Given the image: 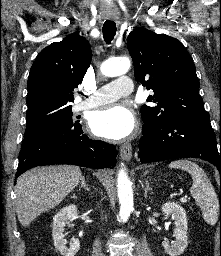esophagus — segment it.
Here are the masks:
<instances>
[{"label":"esophagus","mask_w":221,"mask_h":256,"mask_svg":"<svg viewBox=\"0 0 221 256\" xmlns=\"http://www.w3.org/2000/svg\"><path fill=\"white\" fill-rule=\"evenodd\" d=\"M120 156L125 161H130L132 158V146L130 143L122 144L120 146Z\"/></svg>","instance_id":"1"}]
</instances>
